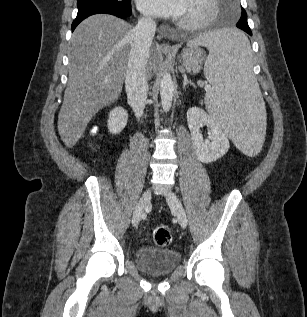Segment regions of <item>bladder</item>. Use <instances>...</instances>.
I'll list each match as a JSON object with an SVG mask.
<instances>
[{
  "instance_id": "obj_1",
  "label": "bladder",
  "mask_w": 307,
  "mask_h": 317,
  "mask_svg": "<svg viewBox=\"0 0 307 317\" xmlns=\"http://www.w3.org/2000/svg\"><path fill=\"white\" fill-rule=\"evenodd\" d=\"M135 262L147 275L158 276L172 272L180 264V254L174 249H163L151 246L136 250Z\"/></svg>"
}]
</instances>
